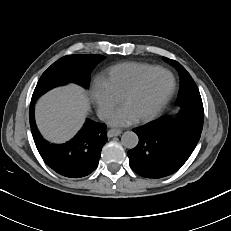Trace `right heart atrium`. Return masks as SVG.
Wrapping results in <instances>:
<instances>
[{
    "mask_svg": "<svg viewBox=\"0 0 231 231\" xmlns=\"http://www.w3.org/2000/svg\"><path fill=\"white\" fill-rule=\"evenodd\" d=\"M92 98L102 118H107L120 102L103 79L97 78L92 85Z\"/></svg>",
    "mask_w": 231,
    "mask_h": 231,
    "instance_id": "obj_1",
    "label": "right heart atrium"
}]
</instances>
